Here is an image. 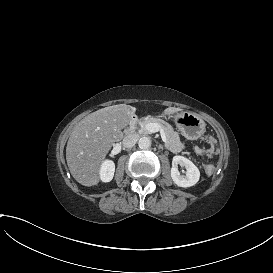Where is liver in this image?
I'll use <instances>...</instances> for the list:
<instances>
[{"label": "liver", "mask_w": 273, "mask_h": 273, "mask_svg": "<svg viewBox=\"0 0 273 273\" xmlns=\"http://www.w3.org/2000/svg\"><path fill=\"white\" fill-rule=\"evenodd\" d=\"M183 111L168 107L163 117ZM137 112L132 105L119 104L99 109L82 119L71 133L66 147V160L72 177L82 186L100 182L104 160L113 144L123 138L124 129Z\"/></svg>", "instance_id": "liver-1"}]
</instances>
